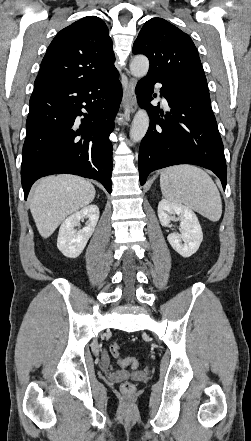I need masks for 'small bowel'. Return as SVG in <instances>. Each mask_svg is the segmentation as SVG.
<instances>
[{"mask_svg": "<svg viewBox=\"0 0 251 441\" xmlns=\"http://www.w3.org/2000/svg\"><path fill=\"white\" fill-rule=\"evenodd\" d=\"M103 360H104V361H107V360H108V356H107V354H105V353L103 354Z\"/></svg>", "mask_w": 251, "mask_h": 441, "instance_id": "obj_1", "label": "small bowel"}]
</instances>
